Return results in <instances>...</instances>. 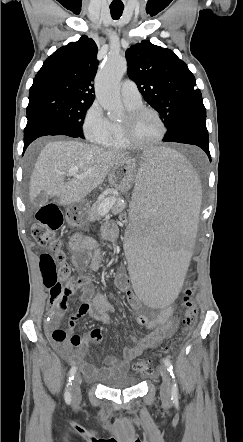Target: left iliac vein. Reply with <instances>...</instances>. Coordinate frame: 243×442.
I'll use <instances>...</instances> for the list:
<instances>
[{"label":"left iliac vein","instance_id":"left-iliac-vein-1","mask_svg":"<svg viewBox=\"0 0 243 442\" xmlns=\"http://www.w3.org/2000/svg\"><path fill=\"white\" fill-rule=\"evenodd\" d=\"M160 373L162 376V384L160 387V396L165 403H170L171 401V377L169 372L164 368L160 367Z\"/></svg>","mask_w":243,"mask_h":442}]
</instances>
